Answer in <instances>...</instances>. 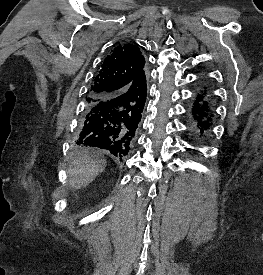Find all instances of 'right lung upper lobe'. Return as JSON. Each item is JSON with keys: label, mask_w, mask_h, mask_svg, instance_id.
<instances>
[{"label": "right lung upper lobe", "mask_w": 263, "mask_h": 275, "mask_svg": "<svg viewBox=\"0 0 263 275\" xmlns=\"http://www.w3.org/2000/svg\"><path fill=\"white\" fill-rule=\"evenodd\" d=\"M145 60L137 46L126 44L115 47L105 58L90 88V96L97 98L126 93L129 109L141 113L147 87L141 80Z\"/></svg>", "instance_id": "1"}]
</instances>
